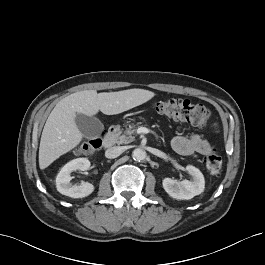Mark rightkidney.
Listing matches in <instances>:
<instances>
[{
    "instance_id": "right-kidney-1",
    "label": "right kidney",
    "mask_w": 265,
    "mask_h": 265,
    "mask_svg": "<svg viewBox=\"0 0 265 265\" xmlns=\"http://www.w3.org/2000/svg\"><path fill=\"white\" fill-rule=\"evenodd\" d=\"M90 168L87 158H77L65 164L56 177V188L58 192L72 198H83L94 191V186L88 182L72 185L71 172L76 170L86 171Z\"/></svg>"
}]
</instances>
